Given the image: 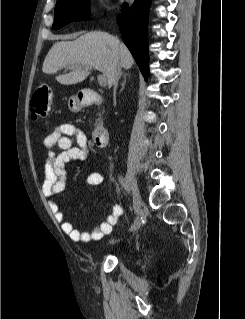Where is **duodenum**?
<instances>
[{
  "label": "duodenum",
  "instance_id": "410a0bca",
  "mask_svg": "<svg viewBox=\"0 0 245 319\" xmlns=\"http://www.w3.org/2000/svg\"><path fill=\"white\" fill-rule=\"evenodd\" d=\"M101 103V96L93 90L85 91L81 97V104L83 106H91ZM109 140V132L106 127L97 123L93 131V141L97 147H106Z\"/></svg>",
  "mask_w": 245,
  "mask_h": 319
}]
</instances>
